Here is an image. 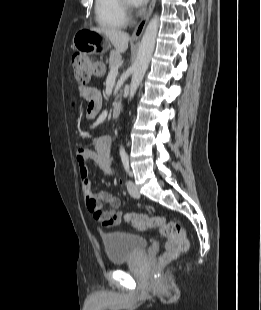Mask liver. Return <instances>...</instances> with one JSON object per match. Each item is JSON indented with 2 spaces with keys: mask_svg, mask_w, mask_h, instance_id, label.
<instances>
[{
  "mask_svg": "<svg viewBox=\"0 0 261 310\" xmlns=\"http://www.w3.org/2000/svg\"><path fill=\"white\" fill-rule=\"evenodd\" d=\"M90 30L104 34L117 52L123 53L128 48L129 35L123 31L110 28H91Z\"/></svg>",
  "mask_w": 261,
  "mask_h": 310,
  "instance_id": "obj_1",
  "label": "liver"
}]
</instances>
